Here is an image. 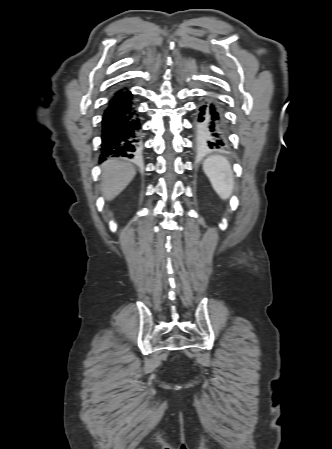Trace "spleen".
<instances>
[{"instance_id":"spleen-1","label":"spleen","mask_w":332,"mask_h":449,"mask_svg":"<svg viewBox=\"0 0 332 449\" xmlns=\"http://www.w3.org/2000/svg\"><path fill=\"white\" fill-rule=\"evenodd\" d=\"M203 171L209 178L216 193L226 200L234 188V176L231 165L226 157L214 155L203 163Z\"/></svg>"}]
</instances>
